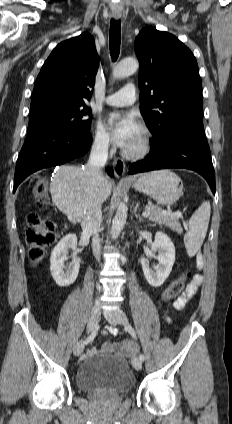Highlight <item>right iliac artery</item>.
<instances>
[{
    "label": "right iliac artery",
    "instance_id": "82829eb1",
    "mask_svg": "<svg viewBox=\"0 0 232 424\" xmlns=\"http://www.w3.org/2000/svg\"><path fill=\"white\" fill-rule=\"evenodd\" d=\"M98 330H99V326L96 325L92 329L91 334L87 337V339L83 341V344L85 345V344H88L89 342L93 341V339L95 338V336L98 333Z\"/></svg>",
    "mask_w": 232,
    "mask_h": 424
}]
</instances>
